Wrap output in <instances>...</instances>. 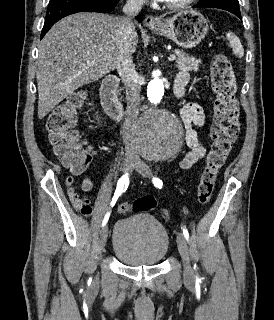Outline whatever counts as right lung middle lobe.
<instances>
[{
	"label": "right lung middle lobe",
	"mask_w": 274,
	"mask_h": 320,
	"mask_svg": "<svg viewBox=\"0 0 274 320\" xmlns=\"http://www.w3.org/2000/svg\"><path fill=\"white\" fill-rule=\"evenodd\" d=\"M54 1H56V0H50V3H51V2H54Z\"/></svg>",
	"instance_id": "1"
}]
</instances>
